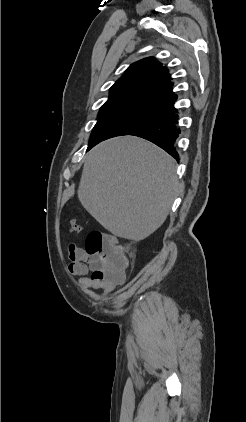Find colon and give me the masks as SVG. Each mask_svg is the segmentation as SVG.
<instances>
[{"mask_svg":"<svg viewBox=\"0 0 246 422\" xmlns=\"http://www.w3.org/2000/svg\"><path fill=\"white\" fill-rule=\"evenodd\" d=\"M69 228L74 232L82 230L81 225L74 220L69 221ZM85 250L98 259L99 267L94 273L95 277L116 279L123 274L127 261L116 237L91 231L86 238Z\"/></svg>","mask_w":246,"mask_h":422,"instance_id":"1","label":"colon"}]
</instances>
